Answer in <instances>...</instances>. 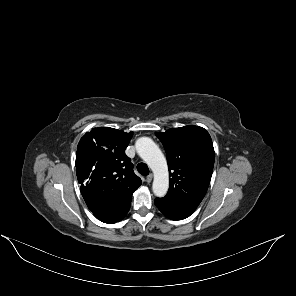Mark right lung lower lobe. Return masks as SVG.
<instances>
[{
	"label": "right lung lower lobe",
	"instance_id": "right-lung-lower-lobe-1",
	"mask_svg": "<svg viewBox=\"0 0 296 296\" xmlns=\"http://www.w3.org/2000/svg\"><path fill=\"white\" fill-rule=\"evenodd\" d=\"M131 198L132 196L108 201L87 200L85 202L97 218L104 223L112 224L121 221L127 214L131 205Z\"/></svg>",
	"mask_w": 296,
	"mask_h": 296
}]
</instances>
